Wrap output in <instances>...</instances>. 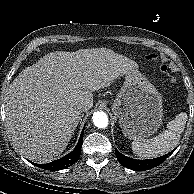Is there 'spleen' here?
Returning <instances> with one entry per match:
<instances>
[{
    "label": "spleen",
    "instance_id": "1",
    "mask_svg": "<svg viewBox=\"0 0 194 194\" xmlns=\"http://www.w3.org/2000/svg\"><path fill=\"white\" fill-rule=\"evenodd\" d=\"M188 116L181 112L175 119L167 124L168 130L150 140L134 139L132 142L133 153L142 159L155 158L174 149L180 140V134L184 131Z\"/></svg>",
    "mask_w": 194,
    "mask_h": 194
}]
</instances>
